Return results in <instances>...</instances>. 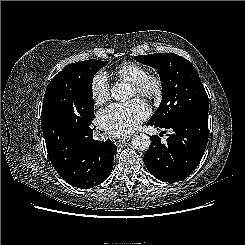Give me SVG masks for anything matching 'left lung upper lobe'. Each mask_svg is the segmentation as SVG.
Returning <instances> with one entry per match:
<instances>
[{
	"label": "left lung upper lobe",
	"instance_id": "obj_1",
	"mask_svg": "<svg viewBox=\"0 0 245 245\" xmlns=\"http://www.w3.org/2000/svg\"><path fill=\"white\" fill-rule=\"evenodd\" d=\"M134 59L157 69L162 82V101L150 122L165 126L194 112L208 113L207 93L188 60L173 53L140 55Z\"/></svg>",
	"mask_w": 245,
	"mask_h": 245
}]
</instances>
